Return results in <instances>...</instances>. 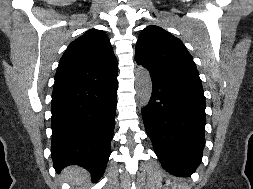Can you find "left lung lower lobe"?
<instances>
[{
  "instance_id": "left-lung-lower-lobe-1",
  "label": "left lung lower lobe",
  "mask_w": 253,
  "mask_h": 189,
  "mask_svg": "<svg viewBox=\"0 0 253 189\" xmlns=\"http://www.w3.org/2000/svg\"><path fill=\"white\" fill-rule=\"evenodd\" d=\"M152 81V96L142 110L147 134L167 171L190 176L205 146L204 92L167 80Z\"/></svg>"
}]
</instances>
